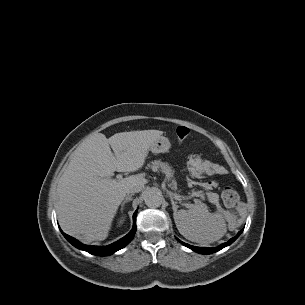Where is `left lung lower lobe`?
<instances>
[{"instance_id":"obj_1","label":"left lung lower lobe","mask_w":305,"mask_h":305,"mask_svg":"<svg viewBox=\"0 0 305 305\" xmlns=\"http://www.w3.org/2000/svg\"><path fill=\"white\" fill-rule=\"evenodd\" d=\"M241 233H242V230H241L240 232H238V234H237L235 237L231 238L228 242L223 243V244H221L220 246L215 247V248L195 247V246H191V245H189V244H186V243L180 241L179 239H177V240H178L180 243H182L183 245H185L186 247L192 249V250L195 251V252H198V253H200V254H211V253L217 252V251L223 249L224 247L230 245L231 243H233V242L238 238V236H239Z\"/></svg>"}]
</instances>
